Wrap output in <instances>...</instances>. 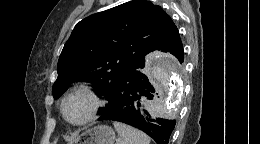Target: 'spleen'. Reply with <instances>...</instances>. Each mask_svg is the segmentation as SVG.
<instances>
[{
	"label": "spleen",
	"mask_w": 260,
	"mask_h": 144,
	"mask_svg": "<svg viewBox=\"0 0 260 144\" xmlns=\"http://www.w3.org/2000/svg\"><path fill=\"white\" fill-rule=\"evenodd\" d=\"M113 125L120 136L118 144H150V138L142 131L120 122Z\"/></svg>",
	"instance_id": "spleen-1"
}]
</instances>
